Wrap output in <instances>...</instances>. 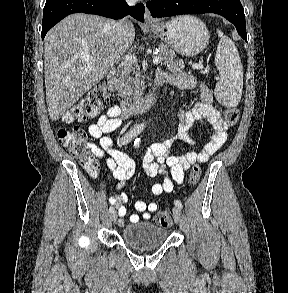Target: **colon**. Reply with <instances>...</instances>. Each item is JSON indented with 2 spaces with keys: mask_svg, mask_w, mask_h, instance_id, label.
<instances>
[{
  "mask_svg": "<svg viewBox=\"0 0 288 293\" xmlns=\"http://www.w3.org/2000/svg\"><path fill=\"white\" fill-rule=\"evenodd\" d=\"M109 94L104 84H98L91 88L76 104L69 108L63 115L65 124L84 121L95 114L108 102ZM240 117L239 109L230 107L224 112L225 122L234 126ZM59 142L76 157L85 171L91 176L99 172V163L88 143L86 131L78 125L62 127L57 131ZM201 178V169L194 166L189 175L191 185H196ZM156 224L167 227L171 223V213L168 209L160 210L155 216Z\"/></svg>",
  "mask_w": 288,
  "mask_h": 293,
  "instance_id": "colon-1",
  "label": "colon"
}]
</instances>
